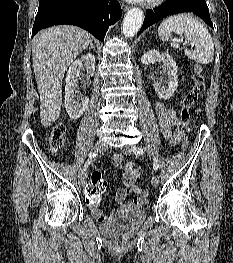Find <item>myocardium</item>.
<instances>
[{"instance_id":"f54148a6","label":"myocardium","mask_w":233,"mask_h":263,"mask_svg":"<svg viewBox=\"0 0 233 263\" xmlns=\"http://www.w3.org/2000/svg\"><path fill=\"white\" fill-rule=\"evenodd\" d=\"M164 0H144V5L149 8L159 6Z\"/></svg>"}]
</instances>
